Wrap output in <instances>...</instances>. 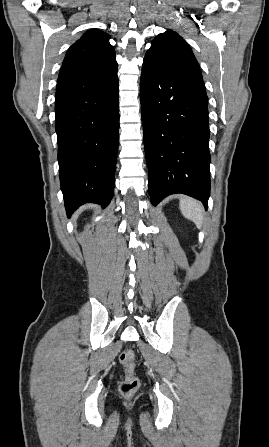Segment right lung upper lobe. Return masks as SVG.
I'll list each match as a JSON object with an SVG mask.
<instances>
[{
  "label": "right lung upper lobe",
  "mask_w": 269,
  "mask_h": 447,
  "mask_svg": "<svg viewBox=\"0 0 269 447\" xmlns=\"http://www.w3.org/2000/svg\"><path fill=\"white\" fill-rule=\"evenodd\" d=\"M110 36L98 30L86 32L68 50L58 82L102 74L117 66Z\"/></svg>",
  "instance_id": "right-lung-upper-lobe-1"
}]
</instances>
